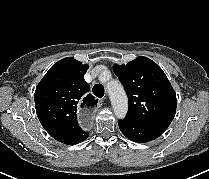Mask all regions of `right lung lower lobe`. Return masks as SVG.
Here are the masks:
<instances>
[{"label":"right lung lower lobe","mask_w":209,"mask_h":179,"mask_svg":"<svg viewBox=\"0 0 209 179\" xmlns=\"http://www.w3.org/2000/svg\"><path fill=\"white\" fill-rule=\"evenodd\" d=\"M88 136H89V133L87 132V133H86L85 135H83V137H82L81 139H79L75 144L84 141Z\"/></svg>","instance_id":"98d812e1"}]
</instances>
